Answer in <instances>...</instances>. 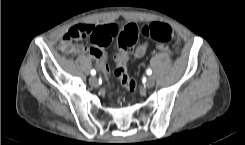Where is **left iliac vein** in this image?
Segmentation results:
<instances>
[{
    "label": "left iliac vein",
    "instance_id": "obj_1",
    "mask_svg": "<svg viewBox=\"0 0 245 145\" xmlns=\"http://www.w3.org/2000/svg\"><path fill=\"white\" fill-rule=\"evenodd\" d=\"M155 85V80L153 77H149L145 83V86L151 88Z\"/></svg>",
    "mask_w": 245,
    "mask_h": 145
}]
</instances>
